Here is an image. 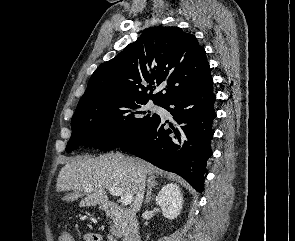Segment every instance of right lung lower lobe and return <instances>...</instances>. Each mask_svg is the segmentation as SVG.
Returning <instances> with one entry per match:
<instances>
[{
    "label": "right lung lower lobe",
    "mask_w": 295,
    "mask_h": 241,
    "mask_svg": "<svg viewBox=\"0 0 295 241\" xmlns=\"http://www.w3.org/2000/svg\"><path fill=\"white\" fill-rule=\"evenodd\" d=\"M213 81L177 94L161 105L172 123L158 116L120 148L157 167L186 179L198 192L204 190L205 167L212 155L211 139L216 118ZM169 126V127H168Z\"/></svg>",
    "instance_id": "1"
}]
</instances>
